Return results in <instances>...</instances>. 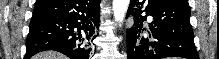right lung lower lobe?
<instances>
[{
    "label": "right lung lower lobe",
    "mask_w": 219,
    "mask_h": 59,
    "mask_svg": "<svg viewBox=\"0 0 219 59\" xmlns=\"http://www.w3.org/2000/svg\"><path fill=\"white\" fill-rule=\"evenodd\" d=\"M100 0H38L26 40L29 59L55 50L71 59H89L99 28Z\"/></svg>",
    "instance_id": "right-lung-lower-lobe-1"
}]
</instances>
